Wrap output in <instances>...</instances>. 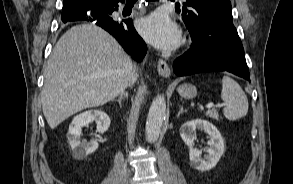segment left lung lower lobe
Wrapping results in <instances>:
<instances>
[{"label": "left lung lower lobe", "mask_w": 293, "mask_h": 184, "mask_svg": "<svg viewBox=\"0 0 293 184\" xmlns=\"http://www.w3.org/2000/svg\"><path fill=\"white\" fill-rule=\"evenodd\" d=\"M214 22L188 27L192 47L173 64L178 76L207 71H228L249 80L244 49L231 20L213 28Z\"/></svg>", "instance_id": "0a47b994"}]
</instances>
